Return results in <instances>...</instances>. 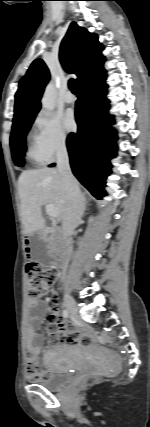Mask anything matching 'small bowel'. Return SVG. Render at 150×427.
<instances>
[{
    "mask_svg": "<svg viewBox=\"0 0 150 427\" xmlns=\"http://www.w3.org/2000/svg\"><path fill=\"white\" fill-rule=\"evenodd\" d=\"M48 302L49 300L43 302L31 301L29 304L26 349L29 354V358L27 359V373L30 379H42L46 376L45 372H40L37 369V358L41 353L44 339L36 332V328L43 321L47 313L49 314V320L54 324V327L49 330V342L64 339L77 346H85L89 343L87 337L80 335L74 326H70L61 319L58 308L49 309Z\"/></svg>",
    "mask_w": 150,
    "mask_h": 427,
    "instance_id": "small-bowel-1",
    "label": "small bowel"
}]
</instances>
